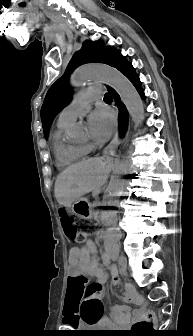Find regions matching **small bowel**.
Returning a JSON list of instances; mask_svg holds the SVG:
<instances>
[{"label":"small bowel","instance_id":"c3829d8e","mask_svg":"<svg viewBox=\"0 0 193 336\" xmlns=\"http://www.w3.org/2000/svg\"><path fill=\"white\" fill-rule=\"evenodd\" d=\"M110 252L107 251L102 261L109 263ZM85 277L95 278L99 283L107 280V274L99 265V259L96 255V247L91 240H87L80 248H72L69 252V279L67 288V302L64 309L65 324L73 325L74 321L80 319L82 315V294L78 282ZM120 277L117 269L111 267V284L118 285ZM123 299L127 302H138L140 300L132 284H126ZM136 311H131L127 306L111 307V319L99 320V324L104 326L122 325L132 319Z\"/></svg>","mask_w":193,"mask_h":336}]
</instances>
